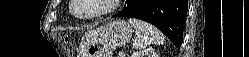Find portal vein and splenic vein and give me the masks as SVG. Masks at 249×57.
<instances>
[{
    "label": "portal vein and splenic vein",
    "mask_w": 249,
    "mask_h": 57,
    "mask_svg": "<svg viewBox=\"0 0 249 57\" xmlns=\"http://www.w3.org/2000/svg\"><path fill=\"white\" fill-rule=\"evenodd\" d=\"M119 56H120V57H125V54H124L123 52H120V53H119Z\"/></svg>",
    "instance_id": "portal-vein-and-splenic-vein-1"
}]
</instances>
